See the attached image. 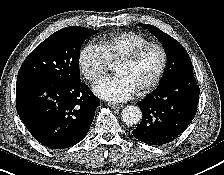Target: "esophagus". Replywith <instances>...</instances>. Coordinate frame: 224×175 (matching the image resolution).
Wrapping results in <instances>:
<instances>
[{
    "instance_id": "obj_1",
    "label": "esophagus",
    "mask_w": 224,
    "mask_h": 175,
    "mask_svg": "<svg viewBox=\"0 0 224 175\" xmlns=\"http://www.w3.org/2000/svg\"><path fill=\"white\" fill-rule=\"evenodd\" d=\"M108 105L113 109H121L123 107L122 104H116V103H109Z\"/></svg>"
}]
</instances>
